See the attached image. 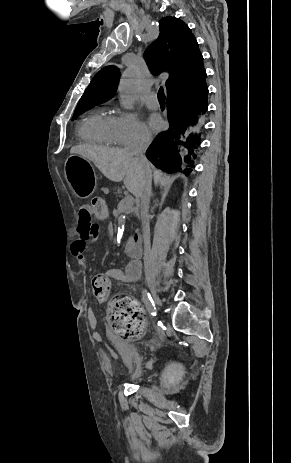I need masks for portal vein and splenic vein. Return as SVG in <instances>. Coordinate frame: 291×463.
I'll list each match as a JSON object with an SVG mask.
<instances>
[{
	"label": "portal vein and splenic vein",
	"instance_id": "obj_1",
	"mask_svg": "<svg viewBox=\"0 0 291 463\" xmlns=\"http://www.w3.org/2000/svg\"><path fill=\"white\" fill-rule=\"evenodd\" d=\"M133 197L130 195H126L118 204V208L122 211L129 210L133 206Z\"/></svg>",
	"mask_w": 291,
	"mask_h": 463
}]
</instances>
